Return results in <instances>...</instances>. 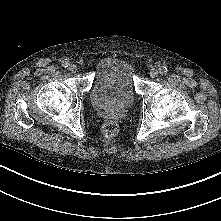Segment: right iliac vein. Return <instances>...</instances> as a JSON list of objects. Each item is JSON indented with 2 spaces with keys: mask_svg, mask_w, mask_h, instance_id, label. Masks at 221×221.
I'll return each mask as SVG.
<instances>
[{
  "mask_svg": "<svg viewBox=\"0 0 221 221\" xmlns=\"http://www.w3.org/2000/svg\"><path fill=\"white\" fill-rule=\"evenodd\" d=\"M69 70L72 72V73H75L77 71V66L75 64H71L69 66Z\"/></svg>",
  "mask_w": 221,
  "mask_h": 221,
  "instance_id": "63e3f726",
  "label": "right iliac vein"
}]
</instances>
